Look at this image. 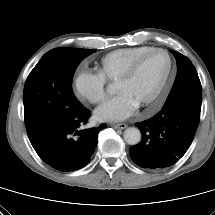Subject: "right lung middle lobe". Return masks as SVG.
Instances as JSON below:
<instances>
[{
    "instance_id": "right-lung-middle-lobe-1",
    "label": "right lung middle lobe",
    "mask_w": 215,
    "mask_h": 215,
    "mask_svg": "<svg viewBox=\"0 0 215 215\" xmlns=\"http://www.w3.org/2000/svg\"><path fill=\"white\" fill-rule=\"evenodd\" d=\"M94 52L90 49L55 48L33 68L23 93L29 137L84 107L73 93L72 80L80 62Z\"/></svg>"
}]
</instances>
